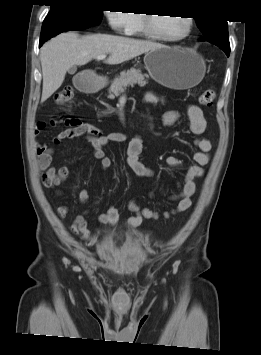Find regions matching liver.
<instances>
[{
  "mask_svg": "<svg viewBox=\"0 0 261 355\" xmlns=\"http://www.w3.org/2000/svg\"><path fill=\"white\" fill-rule=\"evenodd\" d=\"M164 47L152 41L129 37L94 34L79 37L75 32L61 33L40 50L43 75L41 102L62 85L66 72L75 65H85L99 55L109 54L107 64H120L153 49Z\"/></svg>",
  "mask_w": 261,
  "mask_h": 355,
  "instance_id": "6515ba94",
  "label": "liver"
}]
</instances>
